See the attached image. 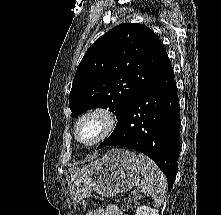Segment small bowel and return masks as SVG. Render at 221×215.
Segmentation results:
<instances>
[{
    "label": "small bowel",
    "mask_w": 221,
    "mask_h": 215,
    "mask_svg": "<svg viewBox=\"0 0 221 215\" xmlns=\"http://www.w3.org/2000/svg\"><path fill=\"white\" fill-rule=\"evenodd\" d=\"M85 215H128V214L120 211L114 205H109L104 208L90 210Z\"/></svg>",
    "instance_id": "small-bowel-1"
}]
</instances>
